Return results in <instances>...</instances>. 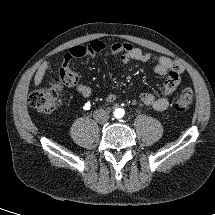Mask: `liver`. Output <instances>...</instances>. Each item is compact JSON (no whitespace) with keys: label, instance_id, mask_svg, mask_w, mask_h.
I'll return each instance as SVG.
<instances>
[{"label":"liver","instance_id":"liver-1","mask_svg":"<svg viewBox=\"0 0 215 215\" xmlns=\"http://www.w3.org/2000/svg\"><path fill=\"white\" fill-rule=\"evenodd\" d=\"M46 68H47V63H46V62H44V63L39 67V70H38V72H37V75L35 76V86H38V85L41 83Z\"/></svg>","mask_w":215,"mask_h":215}]
</instances>
